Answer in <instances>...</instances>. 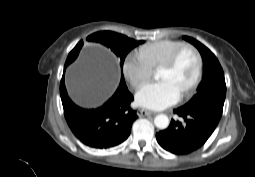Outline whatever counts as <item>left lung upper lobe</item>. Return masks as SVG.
Returning <instances> with one entry per match:
<instances>
[{"instance_id": "left-lung-upper-lobe-1", "label": "left lung upper lobe", "mask_w": 255, "mask_h": 177, "mask_svg": "<svg viewBox=\"0 0 255 177\" xmlns=\"http://www.w3.org/2000/svg\"><path fill=\"white\" fill-rule=\"evenodd\" d=\"M182 38L192 43L199 50L204 65V75L197 88V93L182 108L188 110H214L222 115L226 84L224 72L218 59L207 47L194 38L188 36Z\"/></svg>"}]
</instances>
